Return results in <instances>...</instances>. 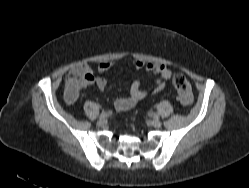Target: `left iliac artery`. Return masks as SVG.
Returning a JSON list of instances; mask_svg holds the SVG:
<instances>
[{"label": "left iliac artery", "mask_w": 249, "mask_h": 188, "mask_svg": "<svg viewBox=\"0 0 249 188\" xmlns=\"http://www.w3.org/2000/svg\"><path fill=\"white\" fill-rule=\"evenodd\" d=\"M152 116H153L154 118H156V119L159 118V115H158L157 113H153Z\"/></svg>", "instance_id": "44dca946"}]
</instances>
